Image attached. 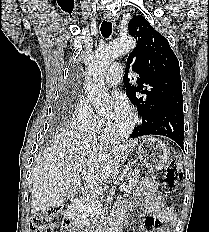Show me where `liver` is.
Masks as SVG:
<instances>
[{"label":"liver","instance_id":"obj_1","mask_svg":"<svg viewBox=\"0 0 209 232\" xmlns=\"http://www.w3.org/2000/svg\"><path fill=\"white\" fill-rule=\"evenodd\" d=\"M137 143L97 139L68 130L57 134L33 169L31 212L57 207L78 194V168L90 172L99 184L112 181Z\"/></svg>","mask_w":209,"mask_h":232}]
</instances>
